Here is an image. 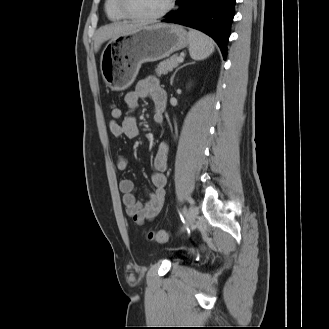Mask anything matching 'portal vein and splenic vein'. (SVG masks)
<instances>
[{"instance_id":"1","label":"portal vein and splenic vein","mask_w":329,"mask_h":329,"mask_svg":"<svg viewBox=\"0 0 329 329\" xmlns=\"http://www.w3.org/2000/svg\"><path fill=\"white\" fill-rule=\"evenodd\" d=\"M183 60H184L183 57L180 56L177 61H178V63H181V62H183Z\"/></svg>"}]
</instances>
